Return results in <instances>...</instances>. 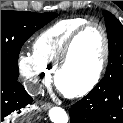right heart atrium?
<instances>
[{
	"mask_svg": "<svg viewBox=\"0 0 123 123\" xmlns=\"http://www.w3.org/2000/svg\"><path fill=\"white\" fill-rule=\"evenodd\" d=\"M16 63L21 77L31 91H38L42 84L49 81V71L41 65L33 54L19 53Z\"/></svg>",
	"mask_w": 123,
	"mask_h": 123,
	"instance_id": "obj_1",
	"label": "right heart atrium"
}]
</instances>
